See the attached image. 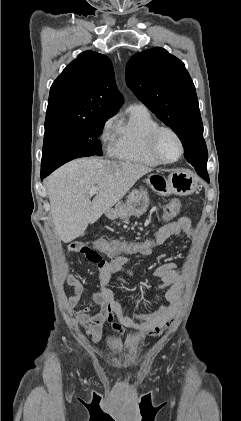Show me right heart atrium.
I'll list each match as a JSON object with an SVG mask.
<instances>
[{"label":"right heart atrium","mask_w":241,"mask_h":421,"mask_svg":"<svg viewBox=\"0 0 241 421\" xmlns=\"http://www.w3.org/2000/svg\"><path fill=\"white\" fill-rule=\"evenodd\" d=\"M114 123V117H109L105 120L102 126V132H101V139L105 143L112 137V126Z\"/></svg>","instance_id":"right-heart-atrium-1"}]
</instances>
